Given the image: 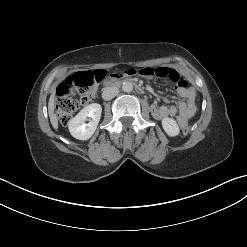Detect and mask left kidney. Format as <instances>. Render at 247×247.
<instances>
[{
	"label": "left kidney",
	"instance_id": "5707ae66",
	"mask_svg": "<svg viewBox=\"0 0 247 247\" xmlns=\"http://www.w3.org/2000/svg\"><path fill=\"white\" fill-rule=\"evenodd\" d=\"M162 127L167 135L171 137L177 136L180 132L177 122L172 118H163Z\"/></svg>",
	"mask_w": 247,
	"mask_h": 247
}]
</instances>
